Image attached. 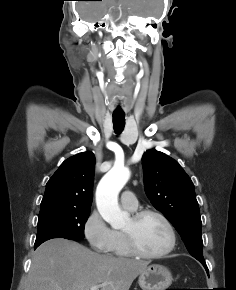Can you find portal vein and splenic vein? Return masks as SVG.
<instances>
[{
  "instance_id": "portal-vein-and-splenic-vein-1",
  "label": "portal vein and splenic vein",
  "mask_w": 236,
  "mask_h": 290,
  "mask_svg": "<svg viewBox=\"0 0 236 290\" xmlns=\"http://www.w3.org/2000/svg\"><path fill=\"white\" fill-rule=\"evenodd\" d=\"M104 284H98V285H94L90 288V290H99V288H101Z\"/></svg>"
}]
</instances>
